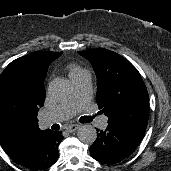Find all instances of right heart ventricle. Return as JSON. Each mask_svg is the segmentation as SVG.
Wrapping results in <instances>:
<instances>
[{
  "instance_id": "right-heart-ventricle-1",
  "label": "right heart ventricle",
  "mask_w": 171,
  "mask_h": 171,
  "mask_svg": "<svg viewBox=\"0 0 171 171\" xmlns=\"http://www.w3.org/2000/svg\"><path fill=\"white\" fill-rule=\"evenodd\" d=\"M68 72H69V77L70 78H73L75 76H78L84 72H86L85 69H83L82 67H80L79 65L77 64H70L68 66Z\"/></svg>"
}]
</instances>
